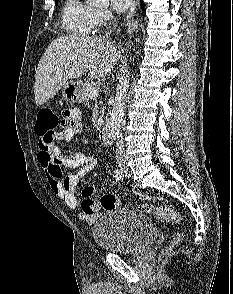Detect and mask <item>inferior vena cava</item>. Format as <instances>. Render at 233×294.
I'll return each instance as SVG.
<instances>
[{"label":"inferior vena cava","mask_w":233,"mask_h":294,"mask_svg":"<svg viewBox=\"0 0 233 294\" xmlns=\"http://www.w3.org/2000/svg\"><path fill=\"white\" fill-rule=\"evenodd\" d=\"M111 32L106 33V37L110 36ZM116 158L117 162L121 165L125 162V150L123 136L120 135L116 142Z\"/></svg>","instance_id":"obj_1"}]
</instances>
